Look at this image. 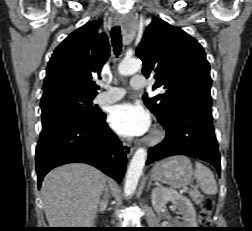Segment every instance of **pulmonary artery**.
<instances>
[{"mask_svg":"<svg viewBox=\"0 0 252 231\" xmlns=\"http://www.w3.org/2000/svg\"><path fill=\"white\" fill-rule=\"evenodd\" d=\"M130 86L134 89H140L147 86V82L143 75L137 74L130 80ZM126 94V90L119 87H109L107 91L99 93L94 101L97 104H110L120 100Z\"/></svg>","mask_w":252,"mask_h":231,"instance_id":"e3ab8cb5","label":"pulmonary artery"}]
</instances>
